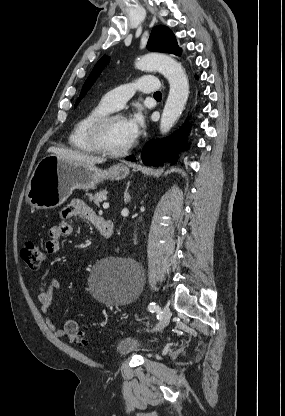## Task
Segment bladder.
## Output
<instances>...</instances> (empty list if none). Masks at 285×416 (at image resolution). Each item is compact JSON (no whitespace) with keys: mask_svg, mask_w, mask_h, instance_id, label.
<instances>
[{"mask_svg":"<svg viewBox=\"0 0 285 416\" xmlns=\"http://www.w3.org/2000/svg\"><path fill=\"white\" fill-rule=\"evenodd\" d=\"M118 352L121 355H128L133 352H145L144 356H146V353H150L154 350V345H148L145 347L142 345V341L139 339L138 336H126L124 337L117 345Z\"/></svg>","mask_w":285,"mask_h":416,"instance_id":"obj_1","label":"bladder"}]
</instances>
